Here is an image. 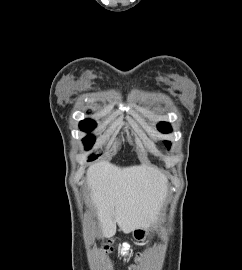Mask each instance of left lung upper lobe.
Instances as JSON below:
<instances>
[{"instance_id":"obj_1","label":"left lung upper lobe","mask_w":242,"mask_h":270,"mask_svg":"<svg viewBox=\"0 0 242 270\" xmlns=\"http://www.w3.org/2000/svg\"><path fill=\"white\" fill-rule=\"evenodd\" d=\"M158 130L163 132V133H168V132H171L172 129H171V126L166 123V122H161L158 124ZM166 143V146L169 148L170 147V142L169 141H165Z\"/></svg>"}]
</instances>
